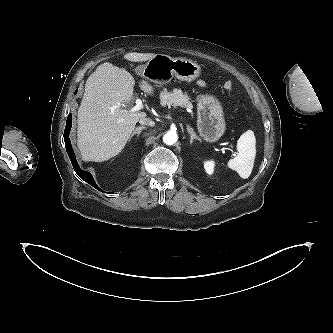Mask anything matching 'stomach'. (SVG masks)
I'll return each instance as SVG.
<instances>
[{
	"label": "stomach",
	"instance_id": "stomach-1",
	"mask_svg": "<svg viewBox=\"0 0 333 333\" xmlns=\"http://www.w3.org/2000/svg\"><path fill=\"white\" fill-rule=\"evenodd\" d=\"M136 72L146 80L163 85L173 77L191 82L200 76L201 67L186 58H172L165 54H155ZM224 112L219 100L210 94L197 98V128L200 136L209 143L218 141L225 132Z\"/></svg>",
	"mask_w": 333,
	"mask_h": 333
}]
</instances>
